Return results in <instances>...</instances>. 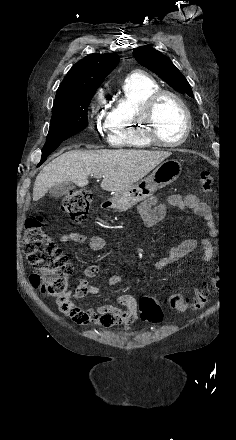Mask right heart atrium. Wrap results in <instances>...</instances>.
I'll list each match as a JSON object with an SVG mask.
<instances>
[{
    "instance_id": "1",
    "label": "right heart atrium",
    "mask_w": 236,
    "mask_h": 440,
    "mask_svg": "<svg viewBox=\"0 0 236 440\" xmlns=\"http://www.w3.org/2000/svg\"><path fill=\"white\" fill-rule=\"evenodd\" d=\"M88 118L90 124L99 130L106 127V109L104 107V92L100 90L94 97L89 110Z\"/></svg>"
}]
</instances>
